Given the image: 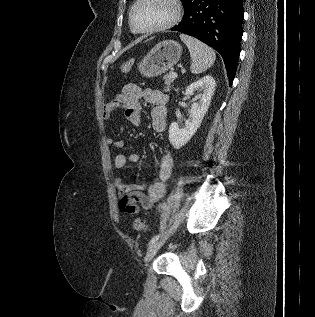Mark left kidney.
I'll use <instances>...</instances> for the list:
<instances>
[{
    "mask_svg": "<svg viewBox=\"0 0 315 317\" xmlns=\"http://www.w3.org/2000/svg\"><path fill=\"white\" fill-rule=\"evenodd\" d=\"M215 87L216 82L214 78L206 75L186 88L187 95H193L195 92L200 93V100L192 104L189 117L182 129L179 128L176 122L171 123L169 127V141L174 148H181L195 134L209 108Z\"/></svg>",
    "mask_w": 315,
    "mask_h": 317,
    "instance_id": "1",
    "label": "left kidney"
}]
</instances>
